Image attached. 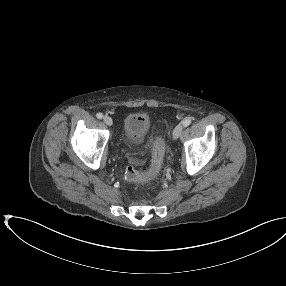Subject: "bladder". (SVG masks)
<instances>
[{
    "mask_svg": "<svg viewBox=\"0 0 286 286\" xmlns=\"http://www.w3.org/2000/svg\"><path fill=\"white\" fill-rule=\"evenodd\" d=\"M150 129L149 118L144 114L129 115L123 125L124 137L128 143H136L147 136Z\"/></svg>",
    "mask_w": 286,
    "mask_h": 286,
    "instance_id": "1",
    "label": "bladder"
}]
</instances>
